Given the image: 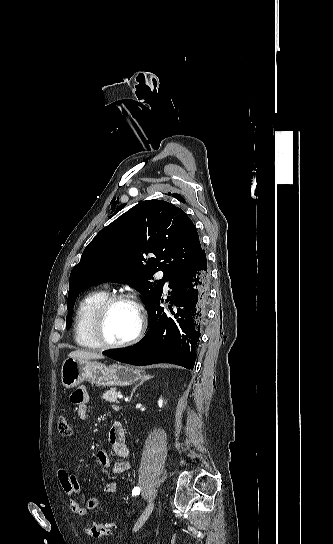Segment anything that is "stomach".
Masks as SVG:
<instances>
[{
	"instance_id": "1",
	"label": "stomach",
	"mask_w": 333,
	"mask_h": 544,
	"mask_svg": "<svg viewBox=\"0 0 333 544\" xmlns=\"http://www.w3.org/2000/svg\"><path fill=\"white\" fill-rule=\"evenodd\" d=\"M143 377L145 373L142 370L127 365L106 366L96 361L75 358L66 359L61 369V381L66 388L76 387L84 380L98 386H128Z\"/></svg>"
}]
</instances>
